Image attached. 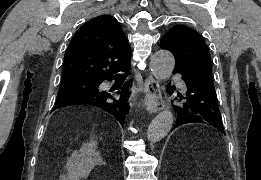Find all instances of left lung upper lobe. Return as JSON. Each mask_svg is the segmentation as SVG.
I'll use <instances>...</instances> for the list:
<instances>
[{"label": "left lung upper lobe", "mask_w": 261, "mask_h": 180, "mask_svg": "<svg viewBox=\"0 0 261 180\" xmlns=\"http://www.w3.org/2000/svg\"><path fill=\"white\" fill-rule=\"evenodd\" d=\"M160 47L173 53L175 69H180L198 78L208 88L215 89L210 54L199 33L187 26L175 25L163 36Z\"/></svg>", "instance_id": "left-lung-upper-lobe-1"}]
</instances>
